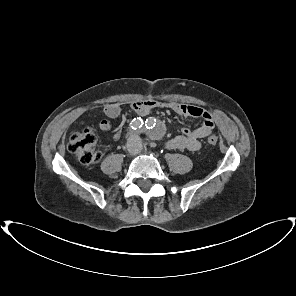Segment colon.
<instances>
[{"instance_id":"5ec220e1","label":"colon","mask_w":296,"mask_h":296,"mask_svg":"<svg viewBox=\"0 0 296 296\" xmlns=\"http://www.w3.org/2000/svg\"><path fill=\"white\" fill-rule=\"evenodd\" d=\"M218 143V138L211 135L207 138L209 146H215ZM96 134L91 128H85L82 131L73 133L68 141V150L84 164L98 162L101 158V153L96 147Z\"/></svg>"}]
</instances>
